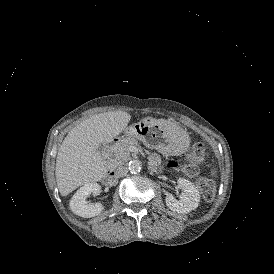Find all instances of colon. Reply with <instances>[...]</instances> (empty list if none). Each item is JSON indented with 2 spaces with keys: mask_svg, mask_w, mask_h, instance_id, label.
I'll return each instance as SVG.
<instances>
[{
  "mask_svg": "<svg viewBox=\"0 0 274 274\" xmlns=\"http://www.w3.org/2000/svg\"><path fill=\"white\" fill-rule=\"evenodd\" d=\"M185 163H176L177 167L189 176L195 177L199 174L198 164L205 158V147L198 142L193 144L185 154ZM201 189L203 196L207 200H212L214 197V182L210 176H205L201 180Z\"/></svg>",
  "mask_w": 274,
  "mask_h": 274,
  "instance_id": "colon-1",
  "label": "colon"
}]
</instances>
